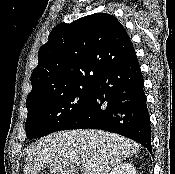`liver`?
I'll use <instances>...</instances> for the list:
<instances>
[{"label": "liver", "instance_id": "6515ba94", "mask_svg": "<svg viewBox=\"0 0 175 174\" xmlns=\"http://www.w3.org/2000/svg\"><path fill=\"white\" fill-rule=\"evenodd\" d=\"M141 149L140 145L115 133L74 130L53 133L37 141L27 152L24 174H39L46 163L51 174H75L79 164L84 174H108L115 165Z\"/></svg>", "mask_w": 175, "mask_h": 174}]
</instances>
